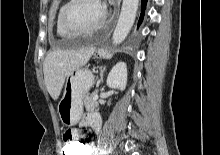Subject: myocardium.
Segmentation results:
<instances>
[{
  "label": "myocardium",
  "instance_id": "myocardium-1",
  "mask_svg": "<svg viewBox=\"0 0 220 155\" xmlns=\"http://www.w3.org/2000/svg\"><path fill=\"white\" fill-rule=\"evenodd\" d=\"M79 2V0H68L62 7L59 15V23L60 26L64 31H66L69 34L72 35H81V34H88L95 32L99 29H101L105 22H106V16L104 15L103 19L95 26L89 27V28H83V27H76L69 23L67 19V15L69 10L73 7L74 4Z\"/></svg>",
  "mask_w": 220,
  "mask_h": 155
}]
</instances>
